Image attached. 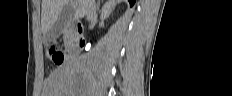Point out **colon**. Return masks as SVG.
<instances>
[{
	"instance_id": "colon-1",
	"label": "colon",
	"mask_w": 232,
	"mask_h": 96,
	"mask_svg": "<svg viewBox=\"0 0 232 96\" xmlns=\"http://www.w3.org/2000/svg\"><path fill=\"white\" fill-rule=\"evenodd\" d=\"M48 58L55 64H61L64 59V55L61 50H59L56 46L52 45L47 49Z\"/></svg>"
}]
</instances>
